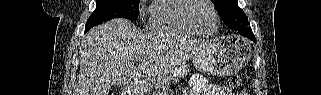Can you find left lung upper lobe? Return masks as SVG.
Here are the masks:
<instances>
[{
	"instance_id": "obj_1",
	"label": "left lung upper lobe",
	"mask_w": 321,
	"mask_h": 95,
	"mask_svg": "<svg viewBox=\"0 0 321 95\" xmlns=\"http://www.w3.org/2000/svg\"><path fill=\"white\" fill-rule=\"evenodd\" d=\"M220 18L233 30L249 25L248 18L243 10L239 8L237 0H211Z\"/></svg>"
}]
</instances>
